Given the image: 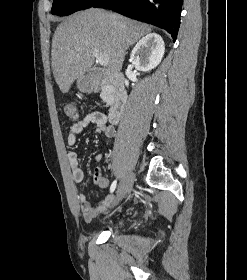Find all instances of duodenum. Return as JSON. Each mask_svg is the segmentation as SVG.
I'll use <instances>...</instances> for the list:
<instances>
[{
    "label": "duodenum",
    "mask_w": 247,
    "mask_h": 280,
    "mask_svg": "<svg viewBox=\"0 0 247 280\" xmlns=\"http://www.w3.org/2000/svg\"><path fill=\"white\" fill-rule=\"evenodd\" d=\"M104 87H109L110 109L108 117L115 124L121 118L127 101L123 77L120 74H109L101 69H91L86 81V88L90 91H99Z\"/></svg>",
    "instance_id": "obj_1"
}]
</instances>
